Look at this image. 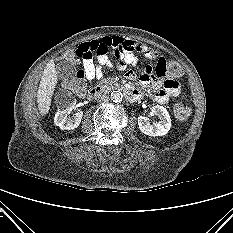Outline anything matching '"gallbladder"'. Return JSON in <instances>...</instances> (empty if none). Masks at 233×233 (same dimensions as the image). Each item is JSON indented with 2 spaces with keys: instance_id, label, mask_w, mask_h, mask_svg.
<instances>
[{
  "instance_id": "1",
  "label": "gallbladder",
  "mask_w": 233,
  "mask_h": 233,
  "mask_svg": "<svg viewBox=\"0 0 233 233\" xmlns=\"http://www.w3.org/2000/svg\"><path fill=\"white\" fill-rule=\"evenodd\" d=\"M56 69L58 72L59 77L62 80L71 79L75 76L76 68L75 66L69 61H60L56 65Z\"/></svg>"
}]
</instances>
